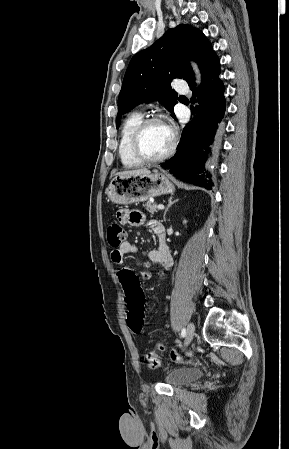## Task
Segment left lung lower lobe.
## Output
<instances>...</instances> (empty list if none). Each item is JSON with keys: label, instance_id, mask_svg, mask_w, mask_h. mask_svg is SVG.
I'll use <instances>...</instances> for the list:
<instances>
[{"label": "left lung lower lobe", "instance_id": "1", "mask_svg": "<svg viewBox=\"0 0 289 449\" xmlns=\"http://www.w3.org/2000/svg\"><path fill=\"white\" fill-rule=\"evenodd\" d=\"M200 70L199 106L194 110L198 116L192 126L183 129L176 154L161 166L182 181L211 190L213 182L207 162L220 149L226 109L224 85L219 78L220 61L213 50L203 60ZM188 84L194 101L197 91L194 79Z\"/></svg>", "mask_w": 289, "mask_h": 449}]
</instances>
